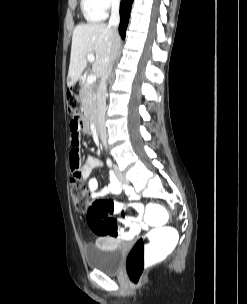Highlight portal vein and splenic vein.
Instances as JSON below:
<instances>
[{
    "label": "portal vein and splenic vein",
    "instance_id": "portal-vein-and-splenic-vein-1",
    "mask_svg": "<svg viewBox=\"0 0 247 304\" xmlns=\"http://www.w3.org/2000/svg\"><path fill=\"white\" fill-rule=\"evenodd\" d=\"M87 59H88L89 62H92V63H93V62L95 61V56H94V54L89 53V54L87 55ZM96 79H97V77H96L95 74H90V75H88V77H87V83H88L89 85H91V84H93V83L96 81Z\"/></svg>",
    "mask_w": 247,
    "mask_h": 304
}]
</instances>
